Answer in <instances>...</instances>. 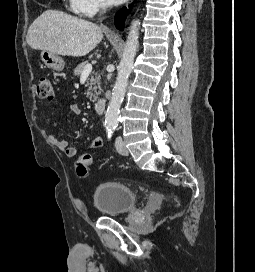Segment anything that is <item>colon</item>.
I'll return each instance as SVG.
<instances>
[{"instance_id":"5ec220e1","label":"colon","mask_w":255,"mask_h":272,"mask_svg":"<svg viewBox=\"0 0 255 272\" xmlns=\"http://www.w3.org/2000/svg\"><path fill=\"white\" fill-rule=\"evenodd\" d=\"M37 94L40 98L51 100L53 99V86L50 77H42L37 86ZM90 157L88 155L82 156L77 162V172L84 176L88 172L90 165Z\"/></svg>"}]
</instances>
